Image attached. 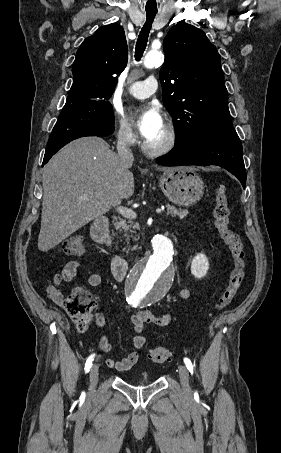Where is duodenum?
Masks as SVG:
<instances>
[{
  "mask_svg": "<svg viewBox=\"0 0 281 453\" xmlns=\"http://www.w3.org/2000/svg\"><path fill=\"white\" fill-rule=\"evenodd\" d=\"M93 239L100 244H107L110 241L109 223L106 219L97 220L92 228ZM129 263L121 256H114L111 261V270L114 278L122 281L129 270Z\"/></svg>",
  "mask_w": 281,
  "mask_h": 453,
  "instance_id": "410a0bca",
  "label": "duodenum"
}]
</instances>
